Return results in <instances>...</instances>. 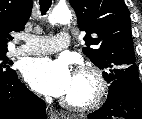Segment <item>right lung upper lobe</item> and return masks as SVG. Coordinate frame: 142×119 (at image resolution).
Wrapping results in <instances>:
<instances>
[{
	"mask_svg": "<svg viewBox=\"0 0 142 119\" xmlns=\"http://www.w3.org/2000/svg\"><path fill=\"white\" fill-rule=\"evenodd\" d=\"M32 0H0V52L7 51L10 32H20L31 15Z\"/></svg>",
	"mask_w": 142,
	"mask_h": 119,
	"instance_id": "1",
	"label": "right lung upper lobe"
}]
</instances>
